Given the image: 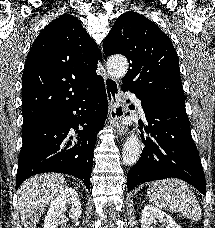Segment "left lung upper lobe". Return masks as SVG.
Masks as SVG:
<instances>
[{"label": "left lung upper lobe", "mask_w": 215, "mask_h": 228, "mask_svg": "<svg viewBox=\"0 0 215 228\" xmlns=\"http://www.w3.org/2000/svg\"><path fill=\"white\" fill-rule=\"evenodd\" d=\"M105 55L122 54L129 70L122 87L141 98L185 101L178 57L168 36L146 17L126 12L103 43Z\"/></svg>", "instance_id": "obj_1"}]
</instances>
